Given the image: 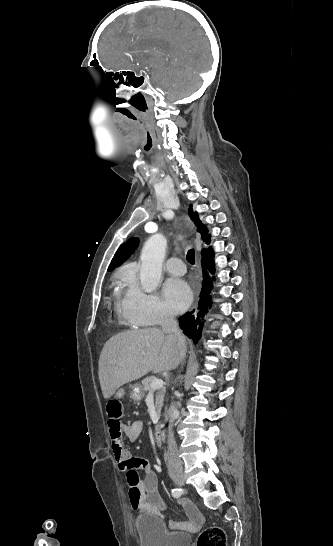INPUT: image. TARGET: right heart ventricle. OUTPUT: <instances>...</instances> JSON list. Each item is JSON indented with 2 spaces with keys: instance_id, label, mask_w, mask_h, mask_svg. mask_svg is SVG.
Returning a JSON list of instances; mask_svg holds the SVG:
<instances>
[{
  "instance_id": "e07e8e85",
  "label": "right heart ventricle",
  "mask_w": 333,
  "mask_h": 546,
  "mask_svg": "<svg viewBox=\"0 0 333 546\" xmlns=\"http://www.w3.org/2000/svg\"><path fill=\"white\" fill-rule=\"evenodd\" d=\"M125 286H126V288L124 290L120 291L116 296V307H117L118 312L122 314L123 318H124V316H123V302H124L125 295H126L128 289H129V284H128L127 279L125 280ZM124 320L126 322H128L129 324H133V323L127 321L125 318H124Z\"/></svg>"
}]
</instances>
